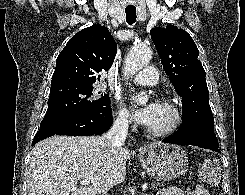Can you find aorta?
I'll list each match as a JSON object with an SVG mask.
<instances>
[{"mask_svg":"<svg viewBox=\"0 0 245 195\" xmlns=\"http://www.w3.org/2000/svg\"><path fill=\"white\" fill-rule=\"evenodd\" d=\"M152 58V51L149 47L144 45L134 46L128 53L125 59L124 75L129 77L147 66ZM148 97L145 94H139L135 97L137 104H145Z\"/></svg>","mask_w":245,"mask_h":195,"instance_id":"1","label":"aorta"}]
</instances>
